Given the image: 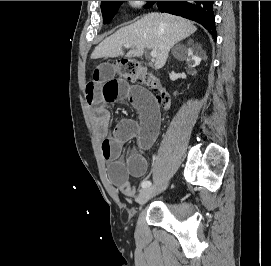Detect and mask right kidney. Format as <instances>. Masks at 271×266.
<instances>
[{
    "label": "right kidney",
    "mask_w": 271,
    "mask_h": 266,
    "mask_svg": "<svg viewBox=\"0 0 271 266\" xmlns=\"http://www.w3.org/2000/svg\"><path fill=\"white\" fill-rule=\"evenodd\" d=\"M186 60L187 62L190 64V67H195L197 65L200 64L201 62V58H199L198 56L194 55L192 50L189 48L186 51Z\"/></svg>",
    "instance_id": "obj_1"
}]
</instances>
